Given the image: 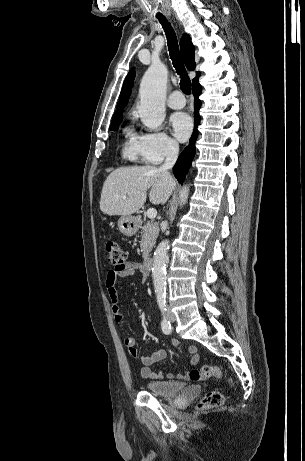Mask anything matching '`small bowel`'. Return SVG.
I'll use <instances>...</instances> for the list:
<instances>
[{
	"label": "small bowel",
	"mask_w": 305,
	"mask_h": 461,
	"mask_svg": "<svg viewBox=\"0 0 305 461\" xmlns=\"http://www.w3.org/2000/svg\"><path fill=\"white\" fill-rule=\"evenodd\" d=\"M139 275L140 279L144 281L147 277L146 270L142 267V265L135 261H129L126 263V266L122 270H110L106 274L105 279V286L108 292L109 299L111 301V309L114 314L116 322L120 323L124 320L123 314V305L120 300V296L117 289V280L119 278H127ZM124 345L126 346L129 354L132 357L138 356V350L135 346V338L133 336H126L124 338ZM173 345L177 346L178 342L173 340ZM188 353L191 355L190 365H196L200 357L197 353V347L191 345L188 347ZM166 357V352L164 349H157L153 352H149L141 357L142 367L140 369V375L143 378H150V379H162L164 374L159 371H154L151 369V366L162 361ZM169 378H178L187 380L189 377V373H179V374H169Z\"/></svg>",
	"instance_id": "1"
}]
</instances>
